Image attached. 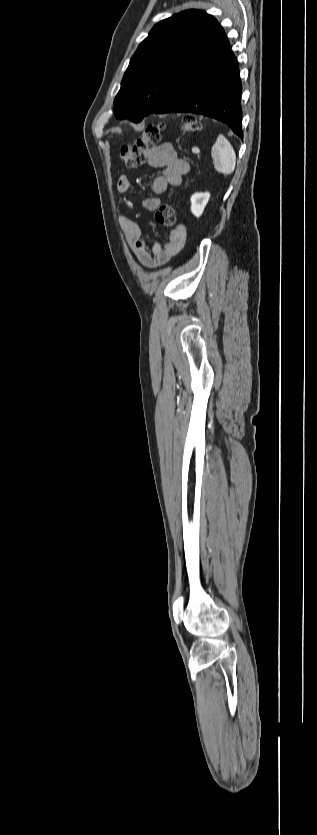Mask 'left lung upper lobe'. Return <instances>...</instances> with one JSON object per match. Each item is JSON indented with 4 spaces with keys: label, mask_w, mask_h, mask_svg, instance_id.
<instances>
[{
    "label": "left lung upper lobe",
    "mask_w": 317,
    "mask_h": 835,
    "mask_svg": "<svg viewBox=\"0 0 317 835\" xmlns=\"http://www.w3.org/2000/svg\"><path fill=\"white\" fill-rule=\"evenodd\" d=\"M218 27L214 17L193 9L157 23L123 76L114 100L116 117L137 123L165 104Z\"/></svg>",
    "instance_id": "left-lung-upper-lobe-1"
}]
</instances>
